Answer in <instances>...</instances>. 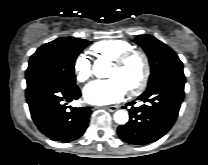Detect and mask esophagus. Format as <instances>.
I'll return each mask as SVG.
<instances>
[{
	"instance_id": "esophagus-1",
	"label": "esophagus",
	"mask_w": 208,
	"mask_h": 165,
	"mask_svg": "<svg viewBox=\"0 0 208 165\" xmlns=\"http://www.w3.org/2000/svg\"><path fill=\"white\" fill-rule=\"evenodd\" d=\"M102 108L107 109V110H109L111 112H114V111H116L118 109V106L117 105H114V106H104Z\"/></svg>"
}]
</instances>
